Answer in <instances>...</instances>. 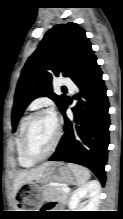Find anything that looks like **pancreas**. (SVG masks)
Segmentation results:
<instances>
[{"label":"pancreas","instance_id":"1","mask_svg":"<svg viewBox=\"0 0 123 219\" xmlns=\"http://www.w3.org/2000/svg\"><path fill=\"white\" fill-rule=\"evenodd\" d=\"M44 199L49 201H58V202H65L69 196V193H66L62 190V187L58 186H49L45 187L43 190Z\"/></svg>","mask_w":123,"mask_h":219}]
</instances>
